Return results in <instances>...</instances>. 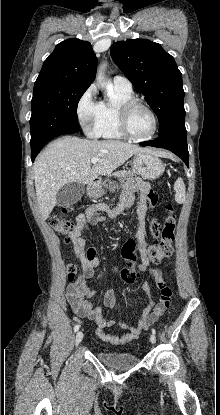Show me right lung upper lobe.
<instances>
[{"label":"right lung upper lobe","mask_w":220,"mask_h":415,"mask_svg":"<svg viewBox=\"0 0 220 415\" xmlns=\"http://www.w3.org/2000/svg\"><path fill=\"white\" fill-rule=\"evenodd\" d=\"M97 58L89 42L67 39L56 45L44 61L36 83H69L90 86L94 81Z\"/></svg>","instance_id":"obj_1"}]
</instances>
